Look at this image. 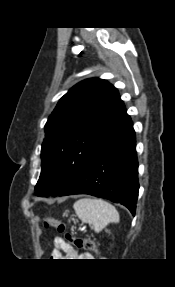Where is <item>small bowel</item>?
<instances>
[{
	"mask_svg": "<svg viewBox=\"0 0 175 287\" xmlns=\"http://www.w3.org/2000/svg\"><path fill=\"white\" fill-rule=\"evenodd\" d=\"M61 251H63L65 255L69 258L77 257V256H84V257L90 256L88 253L79 254L70 245H68L62 238L56 237L54 239V251L52 255L54 257H61Z\"/></svg>",
	"mask_w": 175,
	"mask_h": 287,
	"instance_id": "obj_1",
	"label": "small bowel"
}]
</instances>
